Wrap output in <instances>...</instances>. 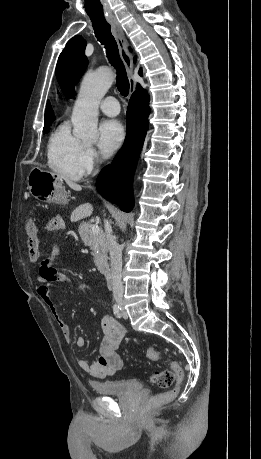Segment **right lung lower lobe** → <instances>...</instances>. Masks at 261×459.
<instances>
[{"instance_id": "98d812e1", "label": "right lung lower lobe", "mask_w": 261, "mask_h": 459, "mask_svg": "<svg viewBox=\"0 0 261 459\" xmlns=\"http://www.w3.org/2000/svg\"><path fill=\"white\" fill-rule=\"evenodd\" d=\"M148 114V95L139 89L132 94L127 108L124 145L112 164L100 172L96 181L99 194L125 212L131 211L134 205L132 180L146 136Z\"/></svg>"}]
</instances>
